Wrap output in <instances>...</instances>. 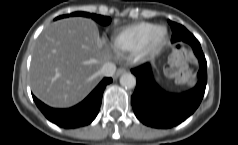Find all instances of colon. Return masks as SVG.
<instances>
[{"label":"colon","instance_id":"obj_1","mask_svg":"<svg viewBox=\"0 0 238 145\" xmlns=\"http://www.w3.org/2000/svg\"><path fill=\"white\" fill-rule=\"evenodd\" d=\"M192 58L190 50L182 44H178L166 66V72L169 76L186 82L190 79L186 61Z\"/></svg>","mask_w":238,"mask_h":145}]
</instances>
